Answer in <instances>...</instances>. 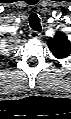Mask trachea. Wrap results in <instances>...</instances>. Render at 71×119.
I'll list each match as a JSON object with an SVG mask.
<instances>
[{"mask_svg": "<svg viewBox=\"0 0 71 119\" xmlns=\"http://www.w3.org/2000/svg\"><path fill=\"white\" fill-rule=\"evenodd\" d=\"M29 23L33 30L40 32L41 31V24L40 19L37 14L33 13L29 16Z\"/></svg>", "mask_w": 71, "mask_h": 119, "instance_id": "trachea-1", "label": "trachea"}]
</instances>
